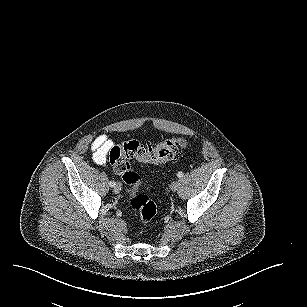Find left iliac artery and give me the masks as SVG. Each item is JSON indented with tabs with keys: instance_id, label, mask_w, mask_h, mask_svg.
Segmentation results:
<instances>
[{
	"instance_id": "obj_1",
	"label": "left iliac artery",
	"mask_w": 307,
	"mask_h": 307,
	"mask_svg": "<svg viewBox=\"0 0 307 307\" xmlns=\"http://www.w3.org/2000/svg\"><path fill=\"white\" fill-rule=\"evenodd\" d=\"M177 177L182 178L183 177V173L182 172H178Z\"/></svg>"
}]
</instances>
